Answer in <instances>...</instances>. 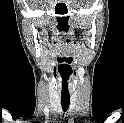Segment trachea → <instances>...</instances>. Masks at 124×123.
I'll return each instance as SVG.
<instances>
[{"label":"trachea","mask_w":124,"mask_h":123,"mask_svg":"<svg viewBox=\"0 0 124 123\" xmlns=\"http://www.w3.org/2000/svg\"><path fill=\"white\" fill-rule=\"evenodd\" d=\"M70 105V97L64 98L61 97V106L64 112H66Z\"/></svg>","instance_id":"obj_1"}]
</instances>
